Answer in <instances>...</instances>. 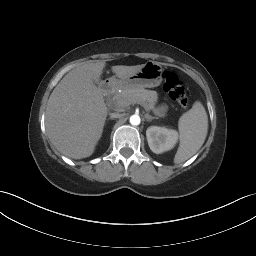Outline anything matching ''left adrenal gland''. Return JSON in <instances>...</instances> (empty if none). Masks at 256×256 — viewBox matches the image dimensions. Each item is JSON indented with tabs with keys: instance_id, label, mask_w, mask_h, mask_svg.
I'll return each mask as SVG.
<instances>
[{
	"instance_id": "left-adrenal-gland-1",
	"label": "left adrenal gland",
	"mask_w": 256,
	"mask_h": 256,
	"mask_svg": "<svg viewBox=\"0 0 256 256\" xmlns=\"http://www.w3.org/2000/svg\"><path fill=\"white\" fill-rule=\"evenodd\" d=\"M145 119L148 121V122H150L151 120H153V119H158V117H153V116H151V115H149V114H145Z\"/></svg>"
}]
</instances>
